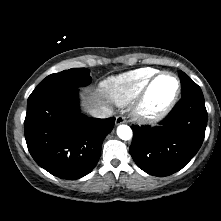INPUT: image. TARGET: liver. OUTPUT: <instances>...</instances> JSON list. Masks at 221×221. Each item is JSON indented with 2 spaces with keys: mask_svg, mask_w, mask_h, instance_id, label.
<instances>
[{
  "mask_svg": "<svg viewBox=\"0 0 221 221\" xmlns=\"http://www.w3.org/2000/svg\"><path fill=\"white\" fill-rule=\"evenodd\" d=\"M83 107L89 111L92 108H95L97 106H103L105 105V101H103L99 96L92 95L89 97H85L82 103Z\"/></svg>",
  "mask_w": 221,
  "mask_h": 221,
  "instance_id": "obj_1",
  "label": "liver"
}]
</instances>
